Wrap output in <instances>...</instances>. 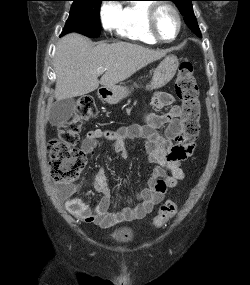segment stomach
Segmentation results:
<instances>
[{
  "mask_svg": "<svg viewBox=\"0 0 250 285\" xmlns=\"http://www.w3.org/2000/svg\"><path fill=\"white\" fill-rule=\"evenodd\" d=\"M179 62L176 56L169 55L158 65L153 73L150 84L146 86L147 89H159L167 85L174 77L178 68ZM104 99L109 104H117L122 99L126 98L131 90L125 86H115L113 88H106Z\"/></svg>",
  "mask_w": 250,
  "mask_h": 285,
  "instance_id": "obj_1",
  "label": "stomach"
}]
</instances>
